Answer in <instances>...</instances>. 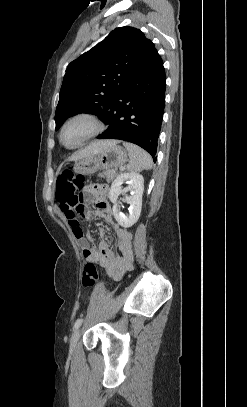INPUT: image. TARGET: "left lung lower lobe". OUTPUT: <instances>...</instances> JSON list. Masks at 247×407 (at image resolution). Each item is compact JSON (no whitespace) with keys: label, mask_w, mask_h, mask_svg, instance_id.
Listing matches in <instances>:
<instances>
[{"label":"left lung lower lobe","mask_w":247,"mask_h":407,"mask_svg":"<svg viewBox=\"0 0 247 407\" xmlns=\"http://www.w3.org/2000/svg\"><path fill=\"white\" fill-rule=\"evenodd\" d=\"M166 76L156 51L115 99L98 139H119L145 149L156 161L165 105Z\"/></svg>","instance_id":"0a47b994"}]
</instances>
